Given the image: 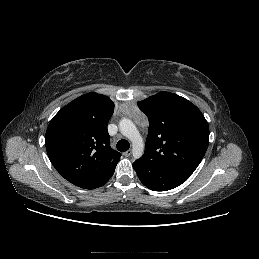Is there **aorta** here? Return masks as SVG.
Here are the masks:
<instances>
[{
	"label": "aorta",
	"instance_id": "762f6f07",
	"mask_svg": "<svg viewBox=\"0 0 259 259\" xmlns=\"http://www.w3.org/2000/svg\"><path fill=\"white\" fill-rule=\"evenodd\" d=\"M119 130L122 135L132 142V154L134 158L139 159L142 157L144 153V143L135 124L130 119L123 118L119 122Z\"/></svg>",
	"mask_w": 259,
	"mask_h": 259
}]
</instances>
